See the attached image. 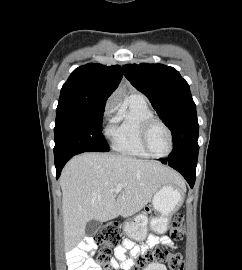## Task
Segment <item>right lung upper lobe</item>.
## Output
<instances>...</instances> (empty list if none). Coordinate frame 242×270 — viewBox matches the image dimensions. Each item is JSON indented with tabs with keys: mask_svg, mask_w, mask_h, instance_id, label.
<instances>
[{
	"mask_svg": "<svg viewBox=\"0 0 242 270\" xmlns=\"http://www.w3.org/2000/svg\"><path fill=\"white\" fill-rule=\"evenodd\" d=\"M123 73L119 66L90 63L75 69L63 84L57 108L105 106Z\"/></svg>",
	"mask_w": 242,
	"mask_h": 270,
	"instance_id": "1",
	"label": "right lung upper lobe"
}]
</instances>
